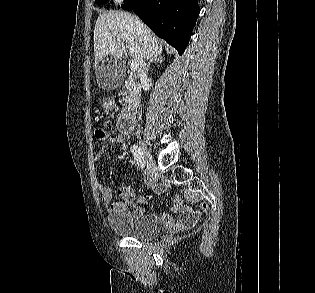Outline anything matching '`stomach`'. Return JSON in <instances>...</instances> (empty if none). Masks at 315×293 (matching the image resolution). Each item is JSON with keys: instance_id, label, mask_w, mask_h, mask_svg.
<instances>
[{"instance_id": "0dacf381", "label": "stomach", "mask_w": 315, "mask_h": 293, "mask_svg": "<svg viewBox=\"0 0 315 293\" xmlns=\"http://www.w3.org/2000/svg\"><path fill=\"white\" fill-rule=\"evenodd\" d=\"M101 102L103 103L102 106L104 110H110L113 108L115 103L120 102V97L119 96H102Z\"/></svg>"}]
</instances>
